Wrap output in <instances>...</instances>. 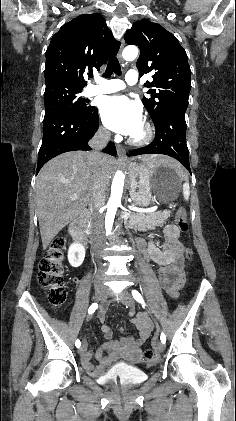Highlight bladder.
Wrapping results in <instances>:
<instances>
[{
	"label": "bladder",
	"instance_id": "31cf9c89",
	"mask_svg": "<svg viewBox=\"0 0 236 421\" xmlns=\"http://www.w3.org/2000/svg\"><path fill=\"white\" fill-rule=\"evenodd\" d=\"M135 384H136V381H131V382L128 383V385H130V386H133Z\"/></svg>",
	"mask_w": 236,
	"mask_h": 421
}]
</instances>
